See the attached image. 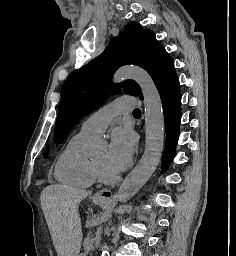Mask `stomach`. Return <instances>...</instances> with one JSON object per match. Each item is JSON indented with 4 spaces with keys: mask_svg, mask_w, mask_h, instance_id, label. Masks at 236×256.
<instances>
[{
    "mask_svg": "<svg viewBox=\"0 0 236 256\" xmlns=\"http://www.w3.org/2000/svg\"><path fill=\"white\" fill-rule=\"evenodd\" d=\"M95 204H102L103 202L102 201H94ZM78 256H84L83 254H80Z\"/></svg>",
    "mask_w": 236,
    "mask_h": 256,
    "instance_id": "1",
    "label": "stomach"
}]
</instances>
